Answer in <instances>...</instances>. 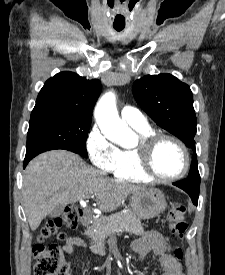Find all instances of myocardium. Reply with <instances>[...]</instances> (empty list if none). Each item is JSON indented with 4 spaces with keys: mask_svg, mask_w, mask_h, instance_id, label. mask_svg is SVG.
Instances as JSON below:
<instances>
[{
    "mask_svg": "<svg viewBox=\"0 0 225 275\" xmlns=\"http://www.w3.org/2000/svg\"><path fill=\"white\" fill-rule=\"evenodd\" d=\"M174 142L181 149L184 157V165L181 171L175 175L164 176L157 173L153 166V155L162 141ZM138 156V167L140 171L152 180L173 181L185 176L190 168V154L185 143L179 138L162 133H152L148 136H142L140 144L135 149Z\"/></svg>",
    "mask_w": 225,
    "mask_h": 275,
    "instance_id": "myocardium-1",
    "label": "myocardium"
}]
</instances>
